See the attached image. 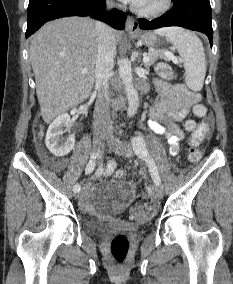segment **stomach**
<instances>
[{"label":"stomach","mask_w":233,"mask_h":284,"mask_svg":"<svg viewBox=\"0 0 233 284\" xmlns=\"http://www.w3.org/2000/svg\"><path fill=\"white\" fill-rule=\"evenodd\" d=\"M133 37L150 48L163 50L160 45V37L155 32H143L138 35H133Z\"/></svg>","instance_id":"1"}]
</instances>
